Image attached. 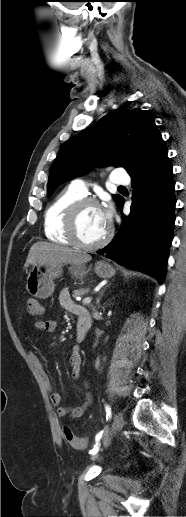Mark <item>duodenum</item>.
I'll return each instance as SVG.
<instances>
[{"mask_svg": "<svg viewBox=\"0 0 186 517\" xmlns=\"http://www.w3.org/2000/svg\"><path fill=\"white\" fill-rule=\"evenodd\" d=\"M92 325V319L89 311L85 308L78 313L77 322V337L79 340H83Z\"/></svg>", "mask_w": 186, "mask_h": 517, "instance_id": "duodenum-1", "label": "duodenum"}]
</instances>
